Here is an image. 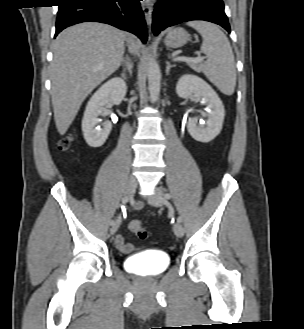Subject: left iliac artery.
Masks as SVG:
<instances>
[{
	"label": "left iliac artery",
	"mask_w": 304,
	"mask_h": 329,
	"mask_svg": "<svg viewBox=\"0 0 304 329\" xmlns=\"http://www.w3.org/2000/svg\"><path fill=\"white\" fill-rule=\"evenodd\" d=\"M164 198H165V199H171L172 196H171L170 193L165 192V193H164ZM177 222H179V223L182 222V217H181V216H179V217L177 218Z\"/></svg>",
	"instance_id": "44dca946"
}]
</instances>
